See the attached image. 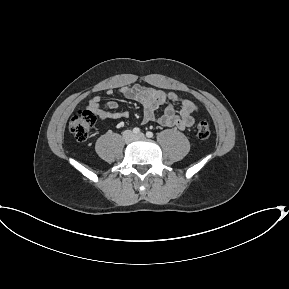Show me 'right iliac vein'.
Wrapping results in <instances>:
<instances>
[{
  "label": "right iliac vein",
  "mask_w": 289,
  "mask_h": 289,
  "mask_svg": "<svg viewBox=\"0 0 289 289\" xmlns=\"http://www.w3.org/2000/svg\"><path fill=\"white\" fill-rule=\"evenodd\" d=\"M123 138H124L126 143H130L133 141L134 135L130 130H127L123 133Z\"/></svg>",
  "instance_id": "63e3f726"
}]
</instances>
